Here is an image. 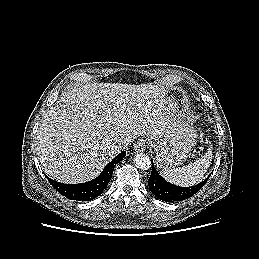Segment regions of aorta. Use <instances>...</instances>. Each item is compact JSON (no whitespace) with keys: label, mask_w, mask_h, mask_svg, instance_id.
<instances>
[{"label":"aorta","mask_w":259,"mask_h":259,"mask_svg":"<svg viewBox=\"0 0 259 259\" xmlns=\"http://www.w3.org/2000/svg\"><path fill=\"white\" fill-rule=\"evenodd\" d=\"M134 161L136 167L141 170H148L151 167L150 157L145 153L136 154Z\"/></svg>","instance_id":"1"}]
</instances>
